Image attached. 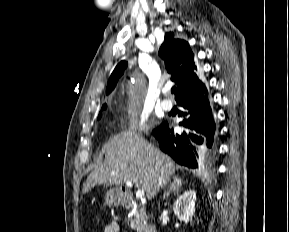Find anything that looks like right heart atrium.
I'll return each instance as SVG.
<instances>
[{
	"mask_svg": "<svg viewBox=\"0 0 289 232\" xmlns=\"http://www.w3.org/2000/svg\"><path fill=\"white\" fill-rule=\"evenodd\" d=\"M148 124H147V118L144 116L136 117V116H129L125 126L124 131L126 133H138L143 134L147 131Z\"/></svg>",
	"mask_w": 289,
	"mask_h": 232,
	"instance_id": "right-heart-atrium-1",
	"label": "right heart atrium"
}]
</instances>
